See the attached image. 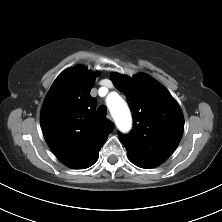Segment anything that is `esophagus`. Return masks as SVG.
I'll use <instances>...</instances> for the list:
<instances>
[{"mask_svg": "<svg viewBox=\"0 0 222 222\" xmlns=\"http://www.w3.org/2000/svg\"><path fill=\"white\" fill-rule=\"evenodd\" d=\"M107 119H109V120H111V121H113V118H112V116L109 114V115H107Z\"/></svg>", "mask_w": 222, "mask_h": 222, "instance_id": "34e87169", "label": "esophagus"}]
</instances>
